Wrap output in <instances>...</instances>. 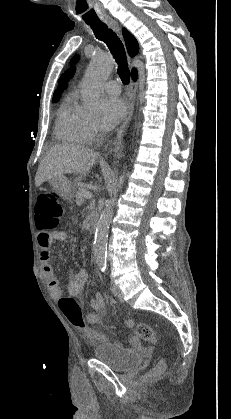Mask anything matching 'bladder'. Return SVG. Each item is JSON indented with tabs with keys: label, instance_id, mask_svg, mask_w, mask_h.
<instances>
[{
	"label": "bladder",
	"instance_id": "1",
	"mask_svg": "<svg viewBox=\"0 0 231 419\" xmlns=\"http://www.w3.org/2000/svg\"><path fill=\"white\" fill-rule=\"evenodd\" d=\"M93 356L96 360L106 363L112 370L124 373L137 369L146 360V357L137 351L108 341L98 343L93 349Z\"/></svg>",
	"mask_w": 231,
	"mask_h": 419
}]
</instances>
